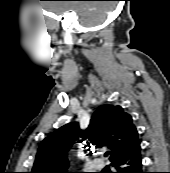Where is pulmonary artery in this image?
Returning a JSON list of instances; mask_svg holds the SVG:
<instances>
[{
	"instance_id": "e3ab8cb5",
	"label": "pulmonary artery",
	"mask_w": 170,
	"mask_h": 173,
	"mask_svg": "<svg viewBox=\"0 0 170 173\" xmlns=\"http://www.w3.org/2000/svg\"><path fill=\"white\" fill-rule=\"evenodd\" d=\"M93 164H94L95 168H97V169H101L104 165V163L100 159H95L93 161Z\"/></svg>"
}]
</instances>
